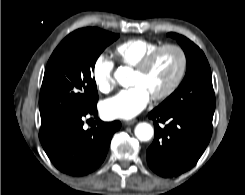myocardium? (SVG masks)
I'll return each mask as SVG.
<instances>
[{
  "label": "myocardium",
  "instance_id": "obj_1",
  "mask_svg": "<svg viewBox=\"0 0 245 195\" xmlns=\"http://www.w3.org/2000/svg\"><path fill=\"white\" fill-rule=\"evenodd\" d=\"M167 49H173L178 53L179 59H180L179 69H178L177 75L175 76L172 83L164 91L151 96V98L155 101H160V100H164V99L168 98L169 96H171L176 91V89L181 84V82L184 78L185 72H186V68H187V56H186L184 49L177 44L160 45L158 48H156L154 51H152L150 54H148L135 67L136 72H139V73L146 72L151 67V65L153 64L155 59L158 57V55Z\"/></svg>",
  "mask_w": 245,
  "mask_h": 195
}]
</instances>
